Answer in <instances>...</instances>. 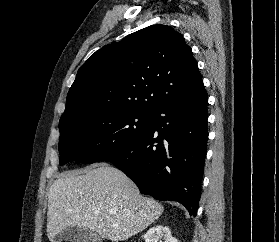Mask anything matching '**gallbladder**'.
I'll return each instance as SVG.
<instances>
[{
	"mask_svg": "<svg viewBox=\"0 0 279 242\" xmlns=\"http://www.w3.org/2000/svg\"><path fill=\"white\" fill-rule=\"evenodd\" d=\"M101 237L94 232L78 227H69L59 232L54 242H100Z\"/></svg>",
	"mask_w": 279,
	"mask_h": 242,
	"instance_id": "obj_1",
	"label": "gallbladder"
}]
</instances>
